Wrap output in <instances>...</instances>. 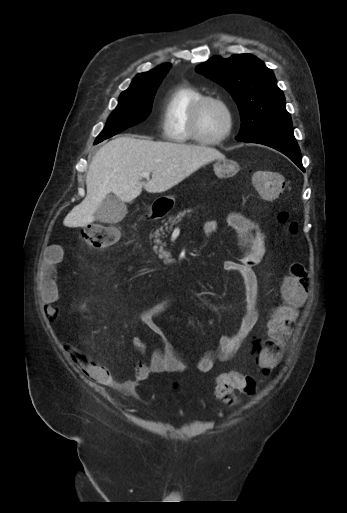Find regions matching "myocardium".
Instances as JSON below:
<instances>
[{
  "instance_id": "f54148a6",
  "label": "myocardium",
  "mask_w": 347,
  "mask_h": 513,
  "mask_svg": "<svg viewBox=\"0 0 347 513\" xmlns=\"http://www.w3.org/2000/svg\"><path fill=\"white\" fill-rule=\"evenodd\" d=\"M208 102H214V103L220 104L224 108V110L227 114V118H228V124H227V128H226L225 132L216 138H205L201 135L200 130H199L200 113H201V110L204 107V105ZM234 123H235L234 112H233V109L228 101L224 100L223 98L217 97V96L203 95L195 103V105L193 106V108L190 112L189 131H190L192 138L200 144L218 145L230 137V135L232 134L233 129H234Z\"/></svg>"
}]
</instances>
